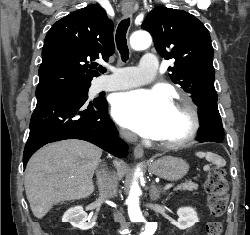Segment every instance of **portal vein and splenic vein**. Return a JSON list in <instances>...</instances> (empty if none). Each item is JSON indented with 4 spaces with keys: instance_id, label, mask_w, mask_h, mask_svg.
Listing matches in <instances>:
<instances>
[{
    "instance_id": "portal-vein-and-splenic-vein-1",
    "label": "portal vein and splenic vein",
    "mask_w": 250,
    "mask_h": 235,
    "mask_svg": "<svg viewBox=\"0 0 250 235\" xmlns=\"http://www.w3.org/2000/svg\"><path fill=\"white\" fill-rule=\"evenodd\" d=\"M171 187H172V185L168 184V185L165 186L164 190H169Z\"/></svg>"
}]
</instances>
